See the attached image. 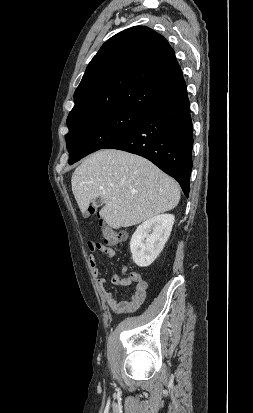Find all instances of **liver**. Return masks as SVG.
Instances as JSON below:
<instances>
[{
    "label": "liver",
    "mask_w": 253,
    "mask_h": 413,
    "mask_svg": "<svg viewBox=\"0 0 253 413\" xmlns=\"http://www.w3.org/2000/svg\"><path fill=\"white\" fill-rule=\"evenodd\" d=\"M72 192L82 212L101 198L100 216L113 229L129 227L175 208L180 189L149 160L121 150L104 149L74 171Z\"/></svg>",
    "instance_id": "1"
}]
</instances>
